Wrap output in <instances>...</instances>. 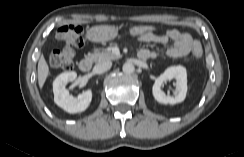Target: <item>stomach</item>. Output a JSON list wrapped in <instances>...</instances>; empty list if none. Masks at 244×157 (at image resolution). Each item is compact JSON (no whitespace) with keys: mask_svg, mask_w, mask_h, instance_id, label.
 <instances>
[{"mask_svg":"<svg viewBox=\"0 0 244 157\" xmlns=\"http://www.w3.org/2000/svg\"><path fill=\"white\" fill-rule=\"evenodd\" d=\"M117 34L118 30L114 26L99 25L87 31V38L93 42H105L114 39Z\"/></svg>","mask_w":244,"mask_h":157,"instance_id":"stomach-1","label":"stomach"}]
</instances>
